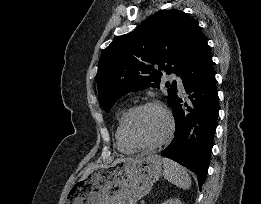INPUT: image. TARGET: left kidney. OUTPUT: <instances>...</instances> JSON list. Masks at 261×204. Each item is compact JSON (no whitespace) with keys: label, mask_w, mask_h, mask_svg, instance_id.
<instances>
[{"label":"left kidney","mask_w":261,"mask_h":204,"mask_svg":"<svg viewBox=\"0 0 261 204\" xmlns=\"http://www.w3.org/2000/svg\"><path fill=\"white\" fill-rule=\"evenodd\" d=\"M162 204H183L179 198H171L164 201Z\"/></svg>","instance_id":"left-kidney-1"}]
</instances>
